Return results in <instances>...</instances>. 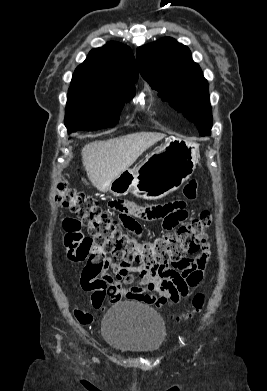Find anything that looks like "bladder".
Wrapping results in <instances>:
<instances>
[{"instance_id":"31cf9c89","label":"bladder","mask_w":267,"mask_h":391,"mask_svg":"<svg viewBox=\"0 0 267 391\" xmlns=\"http://www.w3.org/2000/svg\"><path fill=\"white\" fill-rule=\"evenodd\" d=\"M101 334L111 347L131 353H153L166 338L162 317L154 310L133 302H121L109 308Z\"/></svg>"}]
</instances>
